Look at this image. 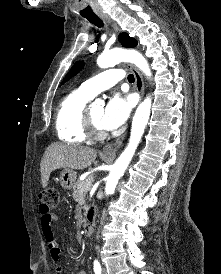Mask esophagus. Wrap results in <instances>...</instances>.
<instances>
[{
  "mask_svg": "<svg viewBox=\"0 0 221 274\" xmlns=\"http://www.w3.org/2000/svg\"><path fill=\"white\" fill-rule=\"evenodd\" d=\"M102 18L105 19L111 26L115 29L116 32H119V27L117 24L111 20V18L107 15H102ZM127 68L130 69L134 75L135 78V88L137 92L140 95V100H142L143 95H144V83L142 76L138 69L134 67L131 64H127ZM125 138V134L117 138L114 142L109 143L103 147V152L107 154H115L117 150L122 146L123 140Z\"/></svg>",
  "mask_w": 221,
  "mask_h": 274,
  "instance_id": "esophagus-1",
  "label": "esophagus"
}]
</instances>
